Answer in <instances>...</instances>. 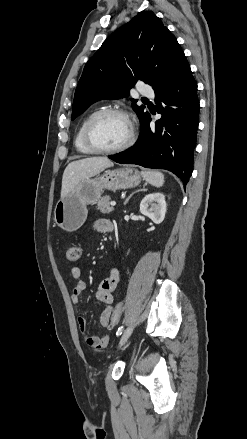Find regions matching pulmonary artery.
Instances as JSON below:
<instances>
[{"instance_id":"pulmonary-artery-1","label":"pulmonary artery","mask_w":247,"mask_h":439,"mask_svg":"<svg viewBox=\"0 0 247 439\" xmlns=\"http://www.w3.org/2000/svg\"><path fill=\"white\" fill-rule=\"evenodd\" d=\"M138 91L142 94V95H146V96H152L153 95V90L152 88L144 83H139L138 85Z\"/></svg>"}]
</instances>
